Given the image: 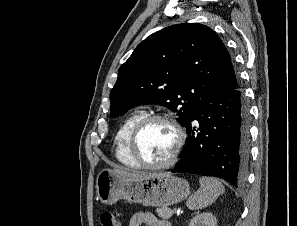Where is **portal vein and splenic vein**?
<instances>
[{"label":"portal vein and splenic vein","instance_id":"18ae733b","mask_svg":"<svg viewBox=\"0 0 297 226\" xmlns=\"http://www.w3.org/2000/svg\"><path fill=\"white\" fill-rule=\"evenodd\" d=\"M173 212H176L177 211V208H173V210H172Z\"/></svg>","mask_w":297,"mask_h":226}]
</instances>
